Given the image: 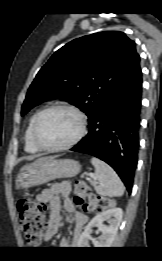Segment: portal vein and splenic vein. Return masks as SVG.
<instances>
[{
	"label": "portal vein and splenic vein",
	"instance_id": "1",
	"mask_svg": "<svg viewBox=\"0 0 162 261\" xmlns=\"http://www.w3.org/2000/svg\"><path fill=\"white\" fill-rule=\"evenodd\" d=\"M88 176L90 177L89 178V181L93 182V184H97V182L95 180H92L91 178H93V174H88Z\"/></svg>",
	"mask_w": 162,
	"mask_h": 261
}]
</instances>
